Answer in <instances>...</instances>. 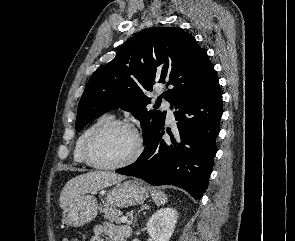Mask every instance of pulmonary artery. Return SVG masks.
I'll use <instances>...</instances> for the list:
<instances>
[{
  "mask_svg": "<svg viewBox=\"0 0 295 241\" xmlns=\"http://www.w3.org/2000/svg\"><path fill=\"white\" fill-rule=\"evenodd\" d=\"M164 109H166L167 112V119L169 122H174V108L172 107L170 102H164L163 103Z\"/></svg>",
  "mask_w": 295,
  "mask_h": 241,
  "instance_id": "1",
  "label": "pulmonary artery"
}]
</instances>
